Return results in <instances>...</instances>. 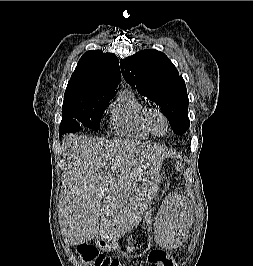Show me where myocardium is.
I'll list each match as a JSON object with an SVG mask.
<instances>
[{
  "label": "myocardium",
  "mask_w": 253,
  "mask_h": 266,
  "mask_svg": "<svg viewBox=\"0 0 253 266\" xmlns=\"http://www.w3.org/2000/svg\"><path fill=\"white\" fill-rule=\"evenodd\" d=\"M155 116L161 117L164 120V122H165L166 130L162 134H159L155 130V127H154V124H153V119H154ZM145 119H146L147 127H148V129H149V131L151 132L152 135L157 136V137H162V136H164L167 133V131L169 129V120H168L167 116L165 115V113L162 110H160L158 108H150V109H148L147 112H146Z\"/></svg>",
  "instance_id": "1"
}]
</instances>
